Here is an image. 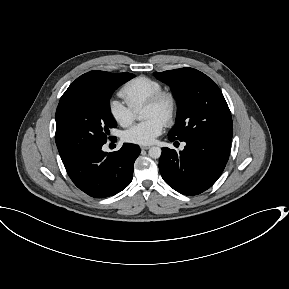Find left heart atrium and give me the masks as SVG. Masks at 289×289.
<instances>
[{
    "label": "left heart atrium",
    "mask_w": 289,
    "mask_h": 289,
    "mask_svg": "<svg viewBox=\"0 0 289 289\" xmlns=\"http://www.w3.org/2000/svg\"><path fill=\"white\" fill-rule=\"evenodd\" d=\"M165 122L158 117H151L136 124L123 133V139L132 144L148 145L162 133Z\"/></svg>",
    "instance_id": "1"
}]
</instances>
